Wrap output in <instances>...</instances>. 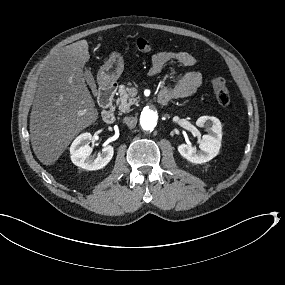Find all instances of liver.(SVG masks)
Returning <instances> with one entry per match:
<instances>
[{"mask_svg": "<svg viewBox=\"0 0 285 285\" xmlns=\"http://www.w3.org/2000/svg\"><path fill=\"white\" fill-rule=\"evenodd\" d=\"M90 59L80 40L55 51L41 74L30 114V139L36 157L52 165L83 129L98 119L83 68Z\"/></svg>", "mask_w": 285, "mask_h": 285, "instance_id": "6515ba94", "label": "liver"}]
</instances>
